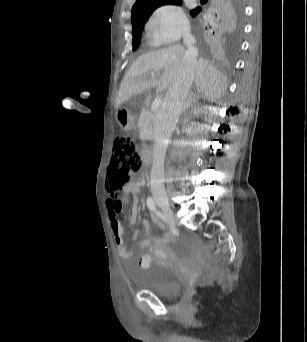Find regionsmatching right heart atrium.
I'll list each match as a JSON object with an SVG mask.
<instances>
[{"label":"right heart atrium","mask_w":307,"mask_h":342,"mask_svg":"<svg viewBox=\"0 0 307 342\" xmlns=\"http://www.w3.org/2000/svg\"><path fill=\"white\" fill-rule=\"evenodd\" d=\"M188 33L184 14L172 6L156 9L143 26L144 36L157 45H172Z\"/></svg>","instance_id":"1"}]
</instances>
